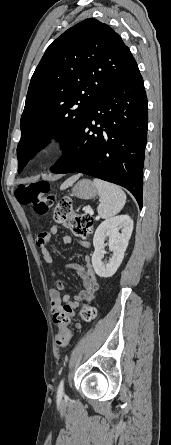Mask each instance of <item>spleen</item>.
<instances>
[{
    "label": "spleen",
    "mask_w": 171,
    "mask_h": 445,
    "mask_svg": "<svg viewBox=\"0 0 171 445\" xmlns=\"http://www.w3.org/2000/svg\"><path fill=\"white\" fill-rule=\"evenodd\" d=\"M94 185L98 189L100 204L98 214L101 218L107 219L118 214L126 203V194L114 184L103 180L94 179Z\"/></svg>",
    "instance_id": "spleen-1"
}]
</instances>
